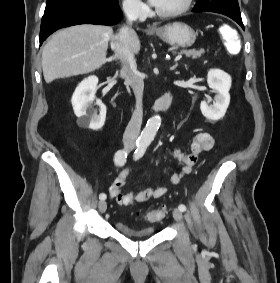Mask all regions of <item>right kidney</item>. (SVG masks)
Wrapping results in <instances>:
<instances>
[{
	"label": "right kidney",
	"instance_id": "right-kidney-1",
	"mask_svg": "<svg viewBox=\"0 0 280 283\" xmlns=\"http://www.w3.org/2000/svg\"><path fill=\"white\" fill-rule=\"evenodd\" d=\"M97 84L98 78L95 75L87 77L76 87L71 100L74 113L78 117L77 124L92 130L101 129L106 119V106L95 98ZM95 99L98 109L92 106Z\"/></svg>",
	"mask_w": 280,
	"mask_h": 283
}]
</instances>
